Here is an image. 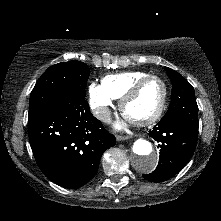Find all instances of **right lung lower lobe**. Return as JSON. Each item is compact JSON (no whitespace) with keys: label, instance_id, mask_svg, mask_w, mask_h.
Returning a JSON list of instances; mask_svg holds the SVG:
<instances>
[{"label":"right lung lower lobe","instance_id":"obj_1","mask_svg":"<svg viewBox=\"0 0 221 221\" xmlns=\"http://www.w3.org/2000/svg\"><path fill=\"white\" fill-rule=\"evenodd\" d=\"M29 141L43 174L65 188L88 183L102 154L116 144L85 98L69 95L28 123Z\"/></svg>","mask_w":221,"mask_h":221}]
</instances>
